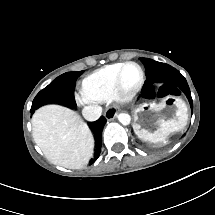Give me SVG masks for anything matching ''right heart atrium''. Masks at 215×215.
<instances>
[{"mask_svg": "<svg viewBox=\"0 0 215 215\" xmlns=\"http://www.w3.org/2000/svg\"><path fill=\"white\" fill-rule=\"evenodd\" d=\"M84 100L83 99H79V102L82 103Z\"/></svg>", "mask_w": 215, "mask_h": 215, "instance_id": "right-heart-atrium-1", "label": "right heart atrium"}]
</instances>
